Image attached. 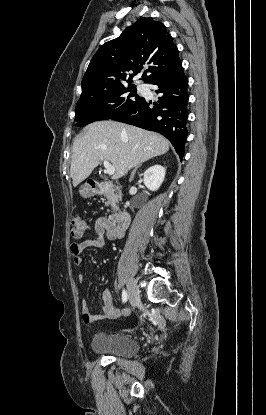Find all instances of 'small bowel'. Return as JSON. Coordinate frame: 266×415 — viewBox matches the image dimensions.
I'll return each instance as SVG.
<instances>
[{"mask_svg":"<svg viewBox=\"0 0 266 415\" xmlns=\"http://www.w3.org/2000/svg\"><path fill=\"white\" fill-rule=\"evenodd\" d=\"M95 231L97 237L94 239H88L80 243H73L71 245V252L73 254L74 262L77 265L82 263V253L87 248H101L105 243L104 236H107L109 239L122 238L124 233L123 231L116 230L109 226L106 219H98L95 223ZM79 280L82 282L85 280V275L80 274ZM103 311L99 315H93L90 313L89 305L86 300L81 302V314L84 323L90 324L99 320L104 319H116L123 314H126L127 311H120L114 306L113 297L109 290L103 292Z\"/></svg>","mask_w":266,"mask_h":415,"instance_id":"1","label":"small bowel"}]
</instances>
